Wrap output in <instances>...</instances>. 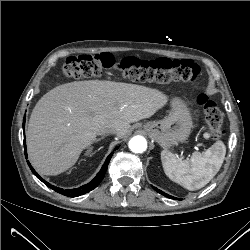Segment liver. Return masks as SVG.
<instances>
[{
  "label": "liver",
  "mask_w": 250,
  "mask_h": 250,
  "mask_svg": "<svg viewBox=\"0 0 250 250\" xmlns=\"http://www.w3.org/2000/svg\"><path fill=\"white\" fill-rule=\"evenodd\" d=\"M167 96L145 86L102 81H76L47 92L35 105L26 131L29 159L43 175L65 172L99 131L116 129L118 138L130 123L153 116Z\"/></svg>",
  "instance_id": "1"
}]
</instances>
